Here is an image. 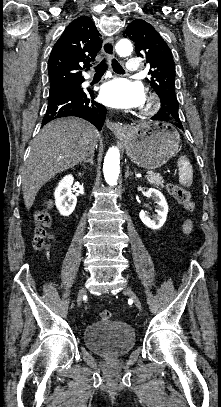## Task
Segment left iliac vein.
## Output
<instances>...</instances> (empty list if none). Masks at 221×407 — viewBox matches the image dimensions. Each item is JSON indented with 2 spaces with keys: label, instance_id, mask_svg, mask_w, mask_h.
<instances>
[{
  "label": "left iliac vein",
  "instance_id": "1",
  "mask_svg": "<svg viewBox=\"0 0 221 407\" xmlns=\"http://www.w3.org/2000/svg\"><path fill=\"white\" fill-rule=\"evenodd\" d=\"M124 291H125V292L129 295V297L134 301L136 307H137L140 311H142V305H141V302H140L138 296L136 295V293H135L128 285H126V286L124 287Z\"/></svg>",
  "mask_w": 221,
  "mask_h": 407
}]
</instances>
